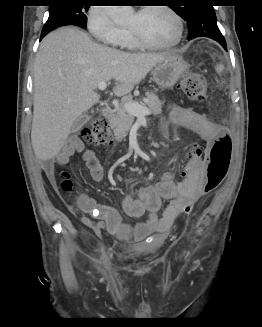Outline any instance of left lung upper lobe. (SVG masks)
I'll return each instance as SVG.
<instances>
[{"label":"left lung upper lobe","mask_w":262,"mask_h":327,"mask_svg":"<svg viewBox=\"0 0 262 327\" xmlns=\"http://www.w3.org/2000/svg\"><path fill=\"white\" fill-rule=\"evenodd\" d=\"M172 9L180 15L189 28V33L196 30H211L217 28L216 15L212 5L207 0H194L193 4L179 6L173 4Z\"/></svg>","instance_id":"1"}]
</instances>
